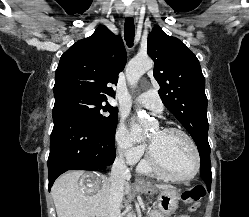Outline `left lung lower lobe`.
<instances>
[{"label":"left lung lower lobe","instance_id":"0a47b994","mask_svg":"<svg viewBox=\"0 0 249 217\" xmlns=\"http://www.w3.org/2000/svg\"><path fill=\"white\" fill-rule=\"evenodd\" d=\"M201 177L206 184L207 190L210 192L212 175L207 173H201Z\"/></svg>","mask_w":249,"mask_h":217}]
</instances>
